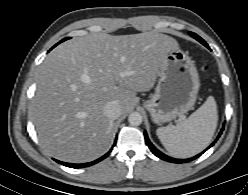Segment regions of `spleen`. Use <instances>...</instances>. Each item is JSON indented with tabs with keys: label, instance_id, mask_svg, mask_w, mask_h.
Listing matches in <instances>:
<instances>
[{
	"label": "spleen",
	"instance_id": "spleen-1",
	"mask_svg": "<svg viewBox=\"0 0 248 195\" xmlns=\"http://www.w3.org/2000/svg\"><path fill=\"white\" fill-rule=\"evenodd\" d=\"M217 122V104L214 97L209 96L187 119L176 126L160 127L156 130V134L172 156L189 158L209 145Z\"/></svg>",
	"mask_w": 248,
	"mask_h": 195
}]
</instances>
